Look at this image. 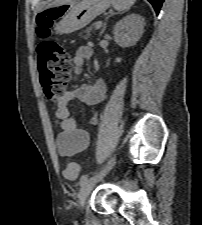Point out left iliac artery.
I'll return each mask as SVG.
<instances>
[{"mask_svg":"<svg viewBox=\"0 0 202 225\" xmlns=\"http://www.w3.org/2000/svg\"><path fill=\"white\" fill-rule=\"evenodd\" d=\"M88 179V175H83L80 179V185H82Z\"/></svg>","mask_w":202,"mask_h":225,"instance_id":"1","label":"left iliac artery"}]
</instances>
